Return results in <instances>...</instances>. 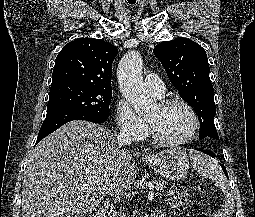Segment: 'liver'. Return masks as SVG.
Listing matches in <instances>:
<instances>
[{
	"label": "liver",
	"mask_w": 255,
	"mask_h": 217,
	"mask_svg": "<svg viewBox=\"0 0 255 217\" xmlns=\"http://www.w3.org/2000/svg\"><path fill=\"white\" fill-rule=\"evenodd\" d=\"M136 174L131 153L117 148L109 130L88 121L68 122L28 157L22 217H84L105 195L128 190Z\"/></svg>",
	"instance_id": "obj_1"
}]
</instances>
